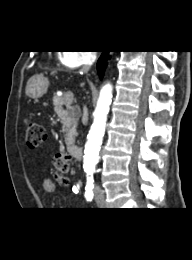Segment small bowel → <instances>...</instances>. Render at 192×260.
Returning <instances> with one entry per match:
<instances>
[{
	"instance_id": "c3829d8e",
	"label": "small bowel",
	"mask_w": 192,
	"mask_h": 260,
	"mask_svg": "<svg viewBox=\"0 0 192 260\" xmlns=\"http://www.w3.org/2000/svg\"><path fill=\"white\" fill-rule=\"evenodd\" d=\"M56 183L50 178V177H46L43 181V191L47 194L53 193L56 190ZM77 190V188H76Z\"/></svg>"
}]
</instances>
